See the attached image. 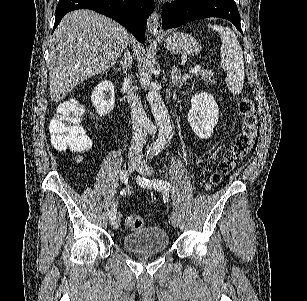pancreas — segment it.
<instances>
[{
  "label": "pancreas",
  "instance_id": "1",
  "mask_svg": "<svg viewBox=\"0 0 307 301\" xmlns=\"http://www.w3.org/2000/svg\"><path fill=\"white\" fill-rule=\"evenodd\" d=\"M214 72L209 70V68H205V70H198V72H194V76L200 78V80H204L205 84H215L216 80L212 78ZM193 74H191L192 78Z\"/></svg>",
  "mask_w": 307,
  "mask_h": 301
}]
</instances>
